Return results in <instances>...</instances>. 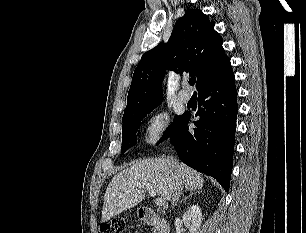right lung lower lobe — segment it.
I'll return each mask as SVG.
<instances>
[{
  "mask_svg": "<svg viewBox=\"0 0 306 233\" xmlns=\"http://www.w3.org/2000/svg\"><path fill=\"white\" fill-rule=\"evenodd\" d=\"M198 92L197 128L188 130L191 115L184 113L170 141L182 162L214 177L228 191L238 113L232 68Z\"/></svg>",
  "mask_w": 306,
  "mask_h": 233,
  "instance_id": "right-lung-lower-lobe-1",
  "label": "right lung lower lobe"
}]
</instances>
